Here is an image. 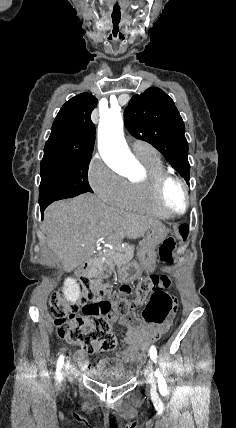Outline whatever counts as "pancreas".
<instances>
[{
  "instance_id": "cf45deb5",
  "label": "pancreas",
  "mask_w": 236,
  "mask_h": 428,
  "mask_svg": "<svg viewBox=\"0 0 236 428\" xmlns=\"http://www.w3.org/2000/svg\"><path fill=\"white\" fill-rule=\"evenodd\" d=\"M133 258L134 246L125 244L124 248H121L120 244H114L110 256H108L104 262H102L101 258H98V262L96 264L98 274L99 276H106L105 272H108L109 268H113L114 264H125V262L133 260Z\"/></svg>"
}]
</instances>
